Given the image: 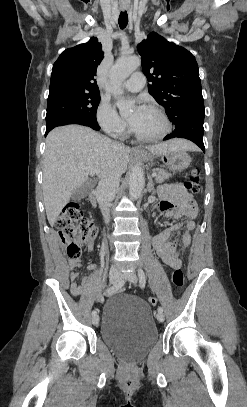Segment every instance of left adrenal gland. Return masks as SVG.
<instances>
[{
    "label": "left adrenal gland",
    "instance_id": "1",
    "mask_svg": "<svg viewBox=\"0 0 247 407\" xmlns=\"http://www.w3.org/2000/svg\"><path fill=\"white\" fill-rule=\"evenodd\" d=\"M147 191L153 193L155 192L154 183L150 175L148 176Z\"/></svg>",
    "mask_w": 247,
    "mask_h": 407
}]
</instances>
